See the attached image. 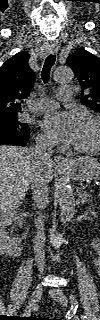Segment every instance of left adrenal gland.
Returning a JSON list of instances; mask_svg holds the SVG:
<instances>
[{
  "label": "left adrenal gland",
  "instance_id": "a2214340",
  "mask_svg": "<svg viewBox=\"0 0 100 320\" xmlns=\"http://www.w3.org/2000/svg\"><path fill=\"white\" fill-rule=\"evenodd\" d=\"M77 193H78V201L81 204L88 202L89 194L86 191L82 190L81 188H78Z\"/></svg>",
  "mask_w": 100,
  "mask_h": 320
}]
</instances>
